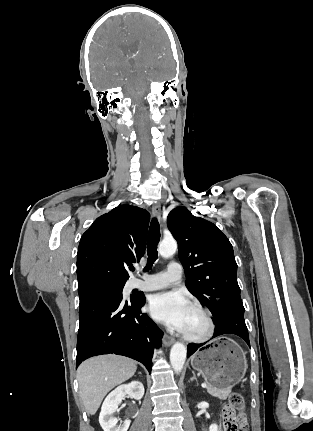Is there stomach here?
Masks as SVG:
<instances>
[{"label":"stomach","mask_w":313,"mask_h":431,"mask_svg":"<svg viewBox=\"0 0 313 431\" xmlns=\"http://www.w3.org/2000/svg\"><path fill=\"white\" fill-rule=\"evenodd\" d=\"M191 366L215 389L232 388L244 377L247 361L242 348L232 339L212 340L191 357Z\"/></svg>","instance_id":"0dacf381"}]
</instances>
